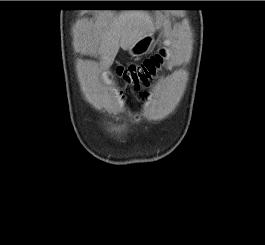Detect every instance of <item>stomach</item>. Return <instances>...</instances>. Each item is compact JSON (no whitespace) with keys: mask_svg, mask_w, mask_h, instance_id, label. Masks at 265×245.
<instances>
[{"mask_svg":"<svg viewBox=\"0 0 265 245\" xmlns=\"http://www.w3.org/2000/svg\"><path fill=\"white\" fill-rule=\"evenodd\" d=\"M154 43L153 33L140 39L130 50L132 56H141L146 54Z\"/></svg>","mask_w":265,"mask_h":245,"instance_id":"obj_1","label":"stomach"}]
</instances>
